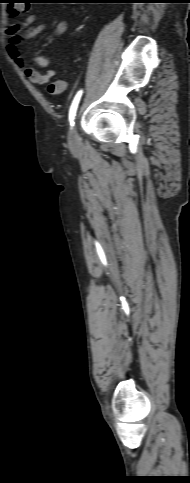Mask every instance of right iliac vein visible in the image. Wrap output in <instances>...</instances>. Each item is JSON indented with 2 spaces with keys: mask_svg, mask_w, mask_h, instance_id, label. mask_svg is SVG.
I'll use <instances>...</instances> for the list:
<instances>
[{
  "mask_svg": "<svg viewBox=\"0 0 190 483\" xmlns=\"http://www.w3.org/2000/svg\"><path fill=\"white\" fill-rule=\"evenodd\" d=\"M75 142H76V127L74 126L70 134V143L75 144Z\"/></svg>",
  "mask_w": 190,
  "mask_h": 483,
  "instance_id": "obj_1",
  "label": "right iliac vein"
}]
</instances>
